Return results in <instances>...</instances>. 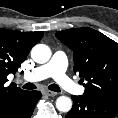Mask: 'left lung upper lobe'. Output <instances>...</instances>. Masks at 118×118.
<instances>
[{"label": "left lung upper lobe", "mask_w": 118, "mask_h": 118, "mask_svg": "<svg viewBox=\"0 0 118 118\" xmlns=\"http://www.w3.org/2000/svg\"><path fill=\"white\" fill-rule=\"evenodd\" d=\"M55 35L74 52V72L87 81L83 96L118 104V44L86 27Z\"/></svg>", "instance_id": "1"}]
</instances>
